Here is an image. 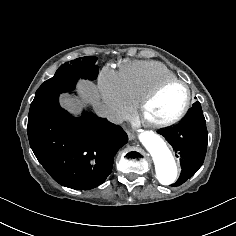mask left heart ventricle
Returning <instances> with one entry per match:
<instances>
[{
    "instance_id": "b2bd125f",
    "label": "left heart ventricle",
    "mask_w": 236,
    "mask_h": 236,
    "mask_svg": "<svg viewBox=\"0 0 236 236\" xmlns=\"http://www.w3.org/2000/svg\"><path fill=\"white\" fill-rule=\"evenodd\" d=\"M185 101V88L179 84L170 85L147 107L144 117L153 122L168 121L182 110Z\"/></svg>"
}]
</instances>
